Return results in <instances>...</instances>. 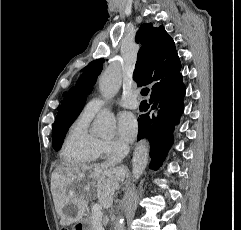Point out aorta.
<instances>
[{"instance_id":"obj_1","label":"aorta","mask_w":241,"mask_h":230,"mask_svg":"<svg viewBox=\"0 0 241 230\" xmlns=\"http://www.w3.org/2000/svg\"><path fill=\"white\" fill-rule=\"evenodd\" d=\"M122 76L118 67L107 68L99 79V88L104 98H112L121 87ZM116 128L114 114L107 108L102 109L93 122L92 132L101 137H112ZM148 147L145 141H141L134 150L132 158V174L138 180L143 174L148 163ZM124 217L119 216L115 222L114 230H124Z\"/></svg>"}]
</instances>
